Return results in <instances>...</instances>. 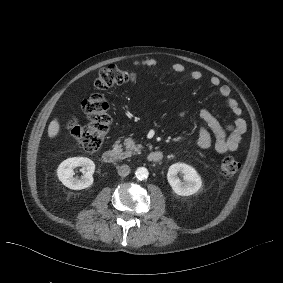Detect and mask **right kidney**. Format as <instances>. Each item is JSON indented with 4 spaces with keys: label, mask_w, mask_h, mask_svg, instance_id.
Returning <instances> with one entry per match:
<instances>
[{
    "label": "right kidney",
    "mask_w": 283,
    "mask_h": 283,
    "mask_svg": "<svg viewBox=\"0 0 283 283\" xmlns=\"http://www.w3.org/2000/svg\"><path fill=\"white\" fill-rule=\"evenodd\" d=\"M82 167L84 176L80 179L74 178V168ZM95 170L94 162L86 157H72L64 160L57 169L59 180L68 188L81 190L93 184V173Z\"/></svg>",
    "instance_id": "right-kidney-1"
}]
</instances>
